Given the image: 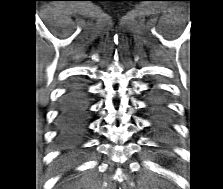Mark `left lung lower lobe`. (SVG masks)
<instances>
[{"label": "left lung lower lobe", "instance_id": "obj_1", "mask_svg": "<svg viewBox=\"0 0 223 189\" xmlns=\"http://www.w3.org/2000/svg\"><path fill=\"white\" fill-rule=\"evenodd\" d=\"M147 104L156 126L169 128L170 118L165 98L156 91H151Z\"/></svg>", "mask_w": 223, "mask_h": 189}]
</instances>
